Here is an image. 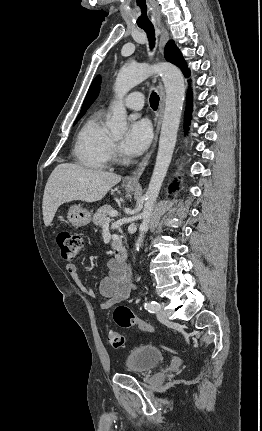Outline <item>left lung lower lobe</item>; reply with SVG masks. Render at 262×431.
<instances>
[{"instance_id":"left-lung-lower-lobe-1","label":"left lung lower lobe","mask_w":262,"mask_h":431,"mask_svg":"<svg viewBox=\"0 0 262 431\" xmlns=\"http://www.w3.org/2000/svg\"><path fill=\"white\" fill-rule=\"evenodd\" d=\"M191 92H188V104H187V109H186V118H185V133L188 132V127L190 125V120H191ZM177 187V182H174L171 187L170 190H175V188Z\"/></svg>"}]
</instances>
